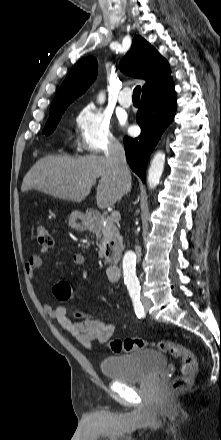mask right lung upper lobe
<instances>
[{
    "mask_svg": "<svg viewBox=\"0 0 221 440\" xmlns=\"http://www.w3.org/2000/svg\"><path fill=\"white\" fill-rule=\"evenodd\" d=\"M123 73L146 80L143 94L158 90L171 82L168 62L144 38H133L131 49L120 62ZM97 61L94 57L79 60L59 88L50 109L68 106L94 82Z\"/></svg>",
    "mask_w": 221,
    "mask_h": 440,
    "instance_id": "obj_1",
    "label": "right lung upper lobe"
}]
</instances>
